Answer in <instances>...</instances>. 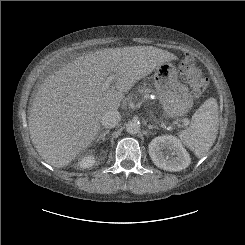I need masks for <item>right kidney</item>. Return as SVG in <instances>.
I'll return each instance as SVG.
<instances>
[{
    "instance_id": "ca27d5eb",
    "label": "right kidney",
    "mask_w": 245,
    "mask_h": 245,
    "mask_svg": "<svg viewBox=\"0 0 245 245\" xmlns=\"http://www.w3.org/2000/svg\"><path fill=\"white\" fill-rule=\"evenodd\" d=\"M95 163V157L93 155H86L83 156L79 161H78V166L81 169H87L90 168L94 165Z\"/></svg>"
}]
</instances>
